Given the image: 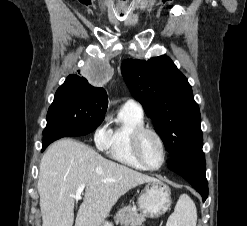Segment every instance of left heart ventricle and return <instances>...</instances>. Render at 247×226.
I'll return each mask as SVG.
<instances>
[{
  "instance_id": "1",
  "label": "left heart ventricle",
  "mask_w": 247,
  "mask_h": 226,
  "mask_svg": "<svg viewBox=\"0 0 247 226\" xmlns=\"http://www.w3.org/2000/svg\"><path fill=\"white\" fill-rule=\"evenodd\" d=\"M140 152L143 159L151 166H157L162 160V149L158 139L146 133L140 140Z\"/></svg>"
}]
</instances>
